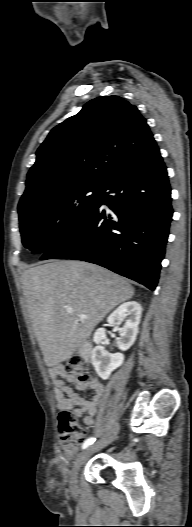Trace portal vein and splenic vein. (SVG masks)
Masks as SVG:
<instances>
[{
    "label": "portal vein and splenic vein",
    "instance_id": "1",
    "mask_svg": "<svg viewBox=\"0 0 192 527\" xmlns=\"http://www.w3.org/2000/svg\"><path fill=\"white\" fill-rule=\"evenodd\" d=\"M66 312H67V313H73V309H72L71 307H66ZM78 317H79L80 319H86V318H87V316L84 315V314H80V315H78Z\"/></svg>",
    "mask_w": 192,
    "mask_h": 527
}]
</instances>
